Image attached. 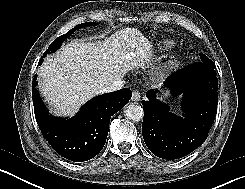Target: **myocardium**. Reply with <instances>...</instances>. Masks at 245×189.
I'll list each match as a JSON object with an SVG mask.
<instances>
[{"label":"myocardium","instance_id":"obj_1","mask_svg":"<svg viewBox=\"0 0 245 189\" xmlns=\"http://www.w3.org/2000/svg\"><path fill=\"white\" fill-rule=\"evenodd\" d=\"M175 62L174 61H171L170 64H174Z\"/></svg>","mask_w":245,"mask_h":189}]
</instances>
